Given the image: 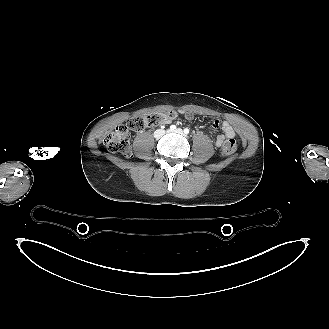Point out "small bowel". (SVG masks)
I'll return each mask as SVG.
<instances>
[{
  "mask_svg": "<svg viewBox=\"0 0 329 329\" xmlns=\"http://www.w3.org/2000/svg\"><path fill=\"white\" fill-rule=\"evenodd\" d=\"M183 113V112H182ZM172 120H167L165 123H169ZM210 130H219L220 136L216 139V146H221L223 141L228 138H233L235 136V131L232 126L227 121H214L209 128Z\"/></svg>",
  "mask_w": 329,
  "mask_h": 329,
  "instance_id": "1",
  "label": "small bowel"
}]
</instances>
